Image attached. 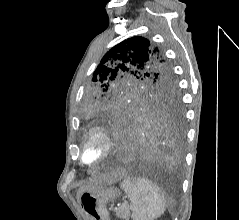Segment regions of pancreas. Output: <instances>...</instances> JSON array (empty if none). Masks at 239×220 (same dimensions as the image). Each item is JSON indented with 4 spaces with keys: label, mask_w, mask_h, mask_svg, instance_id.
Returning <instances> with one entry per match:
<instances>
[{
    "label": "pancreas",
    "mask_w": 239,
    "mask_h": 220,
    "mask_svg": "<svg viewBox=\"0 0 239 220\" xmlns=\"http://www.w3.org/2000/svg\"><path fill=\"white\" fill-rule=\"evenodd\" d=\"M117 215L120 218L128 220V218L130 216L129 207H127L126 205H122L121 207H119V209L117 211Z\"/></svg>",
    "instance_id": "pancreas-1"
}]
</instances>
